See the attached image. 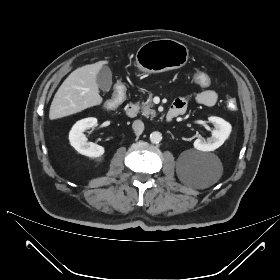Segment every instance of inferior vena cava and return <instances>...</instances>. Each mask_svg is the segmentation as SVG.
Segmentation results:
<instances>
[{"instance_id":"602c4592","label":"inferior vena cava","mask_w":280,"mask_h":280,"mask_svg":"<svg viewBox=\"0 0 280 280\" xmlns=\"http://www.w3.org/2000/svg\"><path fill=\"white\" fill-rule=\"evenodd\" d=\"M132 128L137 136L141 135L144 130V123L141 120H135Z\"/></svg>"}]
</instances>
